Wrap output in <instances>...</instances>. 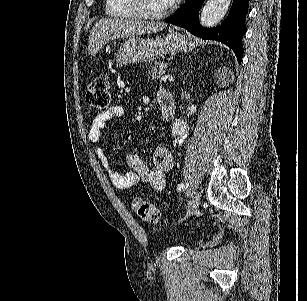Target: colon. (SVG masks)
<instances>
[{
  "label": "colon",
  "mask_w": 307,
  "mask_h": 301,
  "mask_svg": "<svg viewBox=\"0 0 307 301\" xmlns=\"http://www.w3.org/2000/svg\"><path fill=\"white\" fill-rule=\"evenodd\" d=\"M87 103L95 109H105L110 103L109 84L106 78L97 77L92 80L86 91ZM135 214L142 220L151 224L163 223L159 210L143 198L136 197L132 201Z\"/></svg>",
  "instance_id": "1"
}]
</instances>
